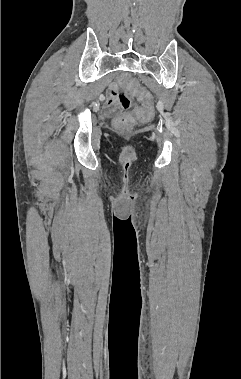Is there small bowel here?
I'll return each mask as SVG.
<instances>
[{
    "label": "small bowel",
    "instance_id": "obj_1",
    "mask_svg": "<svg viewBox=\"0 0 241 379\" xmlns=\"http://www.w3.org/2000/svg\"><path fill=\"white\" fill-rule=\"evenodd\" d=\"M117 93L118 92L116 91V88L112 87L105 103V106L107 109H112L115 106L116 101H117V97H116Z\"/></svg>",
    "mask_w": 241,
    "mask_h": 379
}]
</instances>
